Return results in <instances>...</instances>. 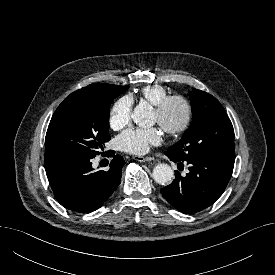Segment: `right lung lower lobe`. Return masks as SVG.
<instances>
[{
  "label": "right lung lower lobe",
  "instance_id": "98d812e1",
  "mask_svg": "<svg viewBox=\"0 0 275 275\" xmlns=\"http://www.w3.org/2000/svg\"><path fill=\"white\" fill-rule=\"evenodd\" d=\"M108 171H94L89 157L52 155L44 158L45 170L57 201L79 213L97 210L118 187L125 161L114 156Z\"/></svg>",
  "mask_w": 275,
  "mask_h": 275
}]
</instances>
